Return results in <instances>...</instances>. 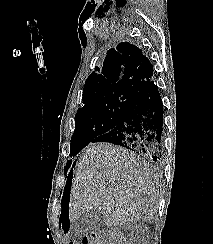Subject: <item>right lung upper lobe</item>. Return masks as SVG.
I'll return each instance as SVG.
<instances>
[{"mask_svg":"<svg viewBox=\"0 0 213 244\" xmlns=\"http://www.w3.org/2000/svg\"><path fill=\"white\" fill-rule=\"evenodd\" d=\"M95 70L99 71L96 67ZM153 77V67L141 49L129 42H121L110 49L101 73L93 72L83 89V104L114 94L136 96Z\"/></svg>","mask_w":213,"mask_h":244,"instance_id":"1","label":"right lung upper lobe"}]
</instances>
